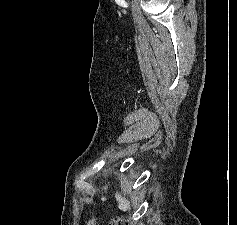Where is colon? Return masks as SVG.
<instances>
[{"mask_svg": "<svg viewBox=\"0 0 237 225\" xmlns=\"http://www.w3.org/2000/svg\"><path fill=\"white\" fill-rule=\"evenodd\" d=\"M87 225H95V220H91L87 223ZM110 225H129L128 223H126L123 219L121 218H114L111 222Z\"/></svg>", "mask_w": 237, "mask_h": 225, "instance_id": "5ec220e1", "label": "colon"}]
</instances>
